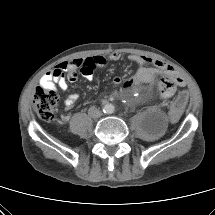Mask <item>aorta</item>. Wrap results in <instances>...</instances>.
<instances>
[{
  "label": "aorta",
  "mask_w": 215,
  "mask_h": 215,
  "mask_svg": "<svg viewBox=\"0 0 215 215\" xmlns=\"http://www.w3.org/2000/svg\"><path fill=\"white\" fill-rule=\"evenodd\" d=\"M114 109H115V107H114L112 104H106V105L104 106V112H105V113H108V114L113 113V112H114Z\"/></svg>",
  "instance_id": "1"
}]
</instances>
